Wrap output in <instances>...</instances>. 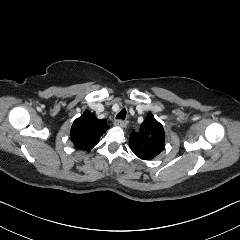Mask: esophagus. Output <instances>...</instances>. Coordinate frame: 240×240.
Masks as SVG:
<instances>
[{
	"instance_id": "34e87169",
	"label": "esophagus",
	"mask_w": 240,
	"mask_h": 240,
	"mask_svg": "<svg viewBox=\"0 0 240 240\" xmlns=\"http://www.w3.org/2000/svg\"><path fill=\"white\" fill-rule=\"evenodd\" d=\"M114 125L117 126V127H120V128H125L126 127L125 122L122 121V120H115Z\"/></svg>"
}]
</instances>
